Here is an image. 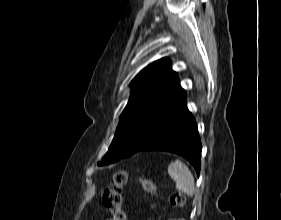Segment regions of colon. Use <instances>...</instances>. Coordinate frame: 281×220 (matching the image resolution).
I'll return each mask as SVG.
<instances>
[{"mask_svg":"<svg viewBox=\"0 0 281 220\" xmlns=\"http://www.w3.org/2000/svg\"><path fill=\"white\" fill-rule=\"evenodd\" d=\"M128 171L119 170L112 178L111 184L107 187L103 194V204L110 212L109 220H125L126 216L122 209V192L127 183ZM142 185L146 192L152 195H158L157 189L153 181L147 177H142ZM186 198L180 193L171 195L170 203L174 206H183Z\"/></svg>","mask_w":281,"mask_h":220,"instance_id":"1","label":"colon"}]
</instances>
